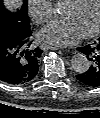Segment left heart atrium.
<instances>
[{"instance_id":"left-heart-atrium-1","label":"left heart atrium","mask_w":100,"mask_h":118,"mask_svg":"<svg viewBox=\"0 0 100 118\" xmlns=\"http://www.w3.org/2000/svg\"><path fill=\"white\" fill-rule=\"evenodd\" d=\"M83 33L73 19L54 20L41 32L40 37L54 45H71L77 42Z\"/></svg>"}]
</instances>
